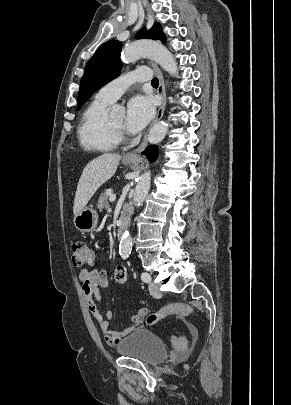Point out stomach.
<instances>
[{
	"mask_svg": "<svg viewBox=\"0 0 291 405\" xmlns=\"http://www.w3.org/2000/svg\"><path fill=\"white\" fill-rule=\"evenodd\" d=\"M125 165L133 163V160L123 161ZM98 224V214L96 210L90 207H84L74 216V225L81 232H91L95 230Z\"/></svg>",
	"mask_w": 291,
	"mask_h": 405,
	"instance_id": "stomach-1",
	"label": "stomach"
}]
</instances>
